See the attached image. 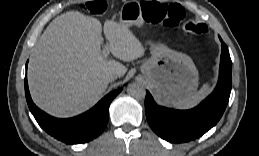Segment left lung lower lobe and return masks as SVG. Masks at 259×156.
Segmentation results:
<instances>
[{
  "instance_id": "1",
  "label": "left lung lower lobe",
  "mask_w": 259,
  "mask_h": 156,
  "mask_svg": "<svg viewBox=\"0 0 259 156\" xmlns=\"http://www.w3.org/2000/svg\"><path fill=\"white\" fill-rule=\"evenodd\" d=\"M221 40V39H220ZM222 42L220 77L214 92L191 110H174L158 106L146 91L145 109L148 123L161 138L172 143L194 140L220 120L231 92L232 63L227 46Z\"/></svg>"
}]
</instances>
